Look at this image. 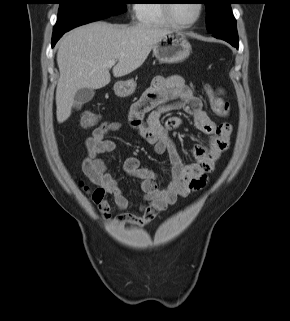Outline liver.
<instances>
[{
	"instance_id": "liver-1",
	"label": "liver",
	"mask_w": 290,
	"mask_h": 321,
	"mask_svg": "<svg viewBox=\"0 0 290 321\" xmlns=\"http://www.w3.org/2000/svg\"><path fill=\"white\" fill-rule=\"evenodd\" d=\"M171 31L149 25L93 22L69 31L59 42L57 64L60 77L56 89L58 123L66 121L79 89H100L111 81L107 66L117 61L113 76L123 77L139 68L153 46Z\"/></svg>"
}]
</instances>
